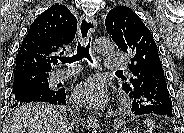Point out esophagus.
<instances>
[{
	"label": "esophagus",
	"mask_w": 184,
	"mask_h": 133,
	"mask_svg": "<svg viewBox=\"0 0 184 133\" xmlns=\"http://www.w3.org/2000/svg\"><path fill=\"white\" fill-rule=\"evenodd\" d=\"M97 22L94 18L82 16L78 24V39L81 43H85L88 37L95 31ZM87 125L89 128H98L99 122L96 117L90 115L87 117Z\"/></svg>",
	"instance_id": "34e87169"
}]
</instances>
